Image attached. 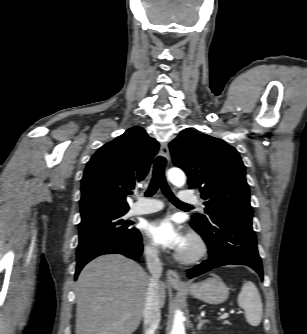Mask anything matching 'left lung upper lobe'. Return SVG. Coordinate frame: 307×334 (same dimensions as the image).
Returning a JSON list of instances; mask_svg holds the SVG:
<instances>
[{"label":"left lung upper lobe","mask_w":307,"mask_h":334,"mask_svg":"<svg viewBox=\"0 0 307 334\" xmlns=\"http://www.w3.org/2000/svg\"><path fill=\"white\" fill-rule=\"evenodd\" d=\"M173 163L188 176L190 189H197L205 200L204 215L192 223L202 229L221 217L252 221L245 166L238 151L225 141L193 130H183L169 144Z\"/></svg>","instance_id":"obj_1"}]
</instances>
